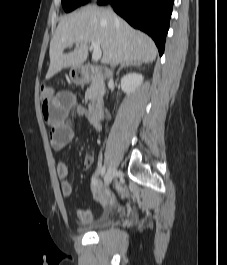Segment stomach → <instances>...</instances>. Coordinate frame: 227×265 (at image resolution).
Listing matches in <instances>:
<instances>
[{"label":"stomach","mask_w":227,"mask_h":265,"mask_svg":"<svg viewBox=\"0 0 227 265\" xmlns=\"http://www.w3.org/2000/svg\"><path fill=\"white\" fill-rule=\"evenodd\" d=\"M69 75L71 80L75 83H80L82 81V78L79 77V71L77 67H72Z\"/></svg>","instance_id":"stomach-1"}]
</instances>
